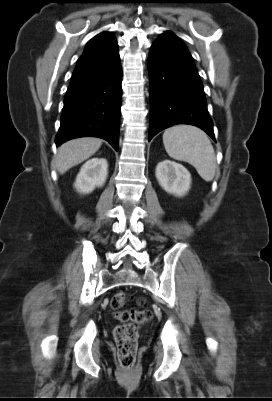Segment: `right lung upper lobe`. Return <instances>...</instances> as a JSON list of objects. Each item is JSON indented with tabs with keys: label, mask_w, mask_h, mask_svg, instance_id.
I'll return each instance as SVG.
<instances>
[{
	"label": "right lung upper lobe",
	"mask_w": 272,
	"mask_h": 401,
	"mask_svg": "<svg viewBox=\"0 0 272 401\" xmlns=\"http://www.w3.org/2000/svg\"><path fill=\"white\" fill-rule=\"evenodd\" d=\"M117 44L116 38L110 32H102L89 41L83 54L78 59L77 67L85 65L102 56Z\"/></svg>",
	"instance_id": "1"
}]
</instances>
